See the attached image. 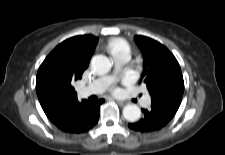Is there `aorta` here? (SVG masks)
I'll return each mask as SVG.
<instances>
[{"instance_id": "obj_1", "label": "aorta", "mask_w": 225, "mask_h": 155, "mask_svg": "<svg viewBox=\"0 0 225 155\" xmlns=\"http://www.w3.org/2000/svg\"><path fill=\"white\" fill-rule=\"evenodd\" d=\"M92 69L99 75L110 71L112 63L105 55H96L91 60ZM123 116L129 122H135L141 117V109L135 104L126 105L123 108Z\"/></svg>"}]
</instances>
